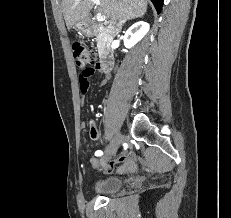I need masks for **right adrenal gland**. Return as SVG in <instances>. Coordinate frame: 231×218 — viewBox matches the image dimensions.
<instances>
[{
	"label": "right adrenal gland",
	"mask_w": 231,
	"mask_h": 218,
	"mask_svg": "<svg viewBox=\"0 0 231 218\" xmlns=\"http://www.w3.org/2000/svg\"><path fill=\"white\" fill-rule=\"evenodd\" d=\"M125 21L119 23V28H122V25L124 24Z\"/></svg>",
	"instance_id": "1"
}]
</instances>
